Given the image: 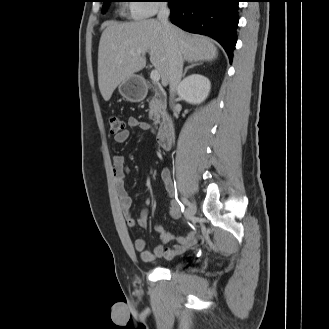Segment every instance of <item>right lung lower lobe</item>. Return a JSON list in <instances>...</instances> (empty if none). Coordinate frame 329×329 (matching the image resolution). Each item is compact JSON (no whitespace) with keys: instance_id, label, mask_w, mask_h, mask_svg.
I'll list each match as a JSON object with an SVG mask.
<instances>
[{"instance_id":"1","label":"right lung lower lobe","mask_w":329,"mask_h":329,"mask_svg":"<svg viewBox=\"0 0 329 329\" xmlns=\"http://www.w3.org/2000/svg\"><path fill=\"white\" fill-rule=\"evenodd\" d=\"M240 0H167L170 20L185 31L210 36L225 49L230 61L236 44Z\"/></svg>"}]
</instances>
